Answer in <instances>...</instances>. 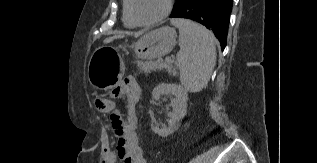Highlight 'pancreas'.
<instances>
[{"instance_id": "pancreas-1", "label": "pancreas", "mask_w": 317, "mask_h": 163, "mask_svg": "<svg viewBox=\"0 0 317 163\" xmlns=\"http://www.w3.org/2000/svg\"><path fill=\"white\" fill-rule=\"evenodd\" d=\"M138 67L141 72L144 73H149L151 71L155 70H162V69H168L169 71L172 70V66L170 64V61H162V60H157V61H145V62H139Z\"/></svg>"}]
</instances>
